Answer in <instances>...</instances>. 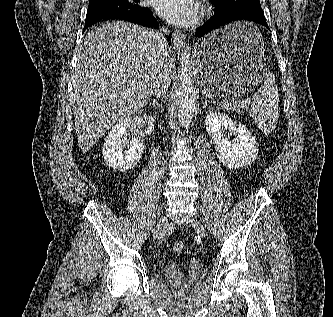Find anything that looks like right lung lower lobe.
<instances>
[{"label": "right lung lower lobe", "mask_w": 333, "mask_h": 317, "mask_svg": "<svg viewBox=\"0 0 333 317\" xmlns=\"http://www.w3.org/2000/svg\"><path fill=\"white\" fill-rule=\"evenodd\" d=\"M107 20H123L129 21L138 25L158 28V22L153 16L152 12L149 8H141L138 10H128L126 12L123 11H101L92 14L86 15L84 30L91 26L92 24L99 21H107ZM167 40H170V36L167 37Z\"/></svg>", "instance_id": "98d812e1"}]
</instances>
